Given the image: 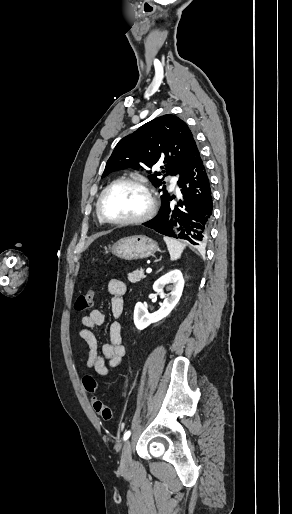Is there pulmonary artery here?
<instances>
[{
    "instance_id": "e3ab8cb5",
    "label": "pulmonary artery",
    "mask_w": 292,
    "mask_h": 514,
    "mask_svg": "<svg viewBox=\"0 0 292 514\" xmlns=\"http://www.w3.org/2000/svg\"><path fill=\"white\" fill-rule=\"evenodd\" d=\"M170 183H171L172 187H175L176 183H177V179L175 177H171L170 178Z\"/></svg>"
}]
</instances>
